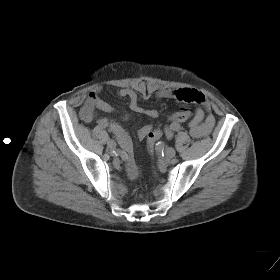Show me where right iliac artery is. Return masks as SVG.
Masks as SVG:
<instances>
[{
	"instance_id": "82829eb1",
	"label": "right iliac artery",
	"mask_w": 280,
	"mask_h": 280,
	"mask_svg": "<svg viewBox=\"0 0 280 280\" xmlns=\"http://www.w3.org/2000/svg\"><path fill=\"white\" fill-rule=\"evenodd\" d=\"M98 124L102 128H107L109 126V122L107 119L99 120ZM115 137L121 148H123L129 154L132 153L133 149H132L131 143L128 138H126L120 134H115Z\"/></svg>"
}]
</instances>
